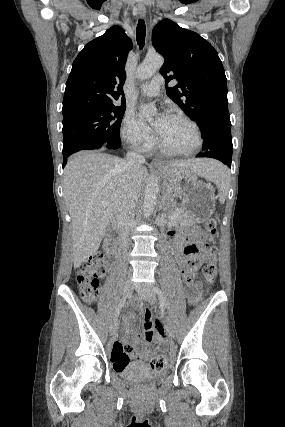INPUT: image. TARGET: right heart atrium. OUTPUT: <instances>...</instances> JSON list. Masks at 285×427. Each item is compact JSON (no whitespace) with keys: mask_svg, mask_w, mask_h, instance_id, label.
<instances>
[{"mask_svg":"<svg viewBox=\"0 0 285 427\" xmlns=\"http://www.w3.org/2000/svg\"><path fill=\"white\" fill-rule=\"evenodd\" d=\"M122 135L131 147L140 151L150 150L155 143L150 129L132 112L126 113L123 119Z\"/></svg>","mask_w":285,"mask_h":427,"instance_id":"1","label":"right heart atrium"}]
</instances>
